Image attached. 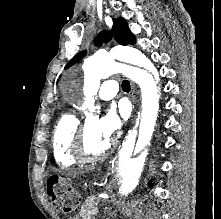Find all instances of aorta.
<instances>
[{"label": "aorta", "instance_id": "1", "mask_svg": "<svg viewBox=\"0 0 221 219\" xmlns=\"http://www.w3.org/2000/svg\"><path fill=\"white\" fill-rule=\"evenodd\" d=\"M121 62L142 67L154 76L155 81L151 79L150 89L153 104L154 106L157 104L159 76L156 68L139 50L132 47H120L112 50L110 53L95 54L84 61L83 68L85 74L90 79V86L86 90V100L83 104V109L90 111V113L85 112L86 116H90L95 109L93 95L98 91L100 79L108 78L114 74L121 67ZM156 117L157 112L153 111L149 118L148 132L138 148L134 150V140L132 139L118 156L114 167L113 188L120 201H125L139 183L148 154L149 134Z\"/></svg>", "mask_w": 221, "mask_h": 219}]
</instances>
